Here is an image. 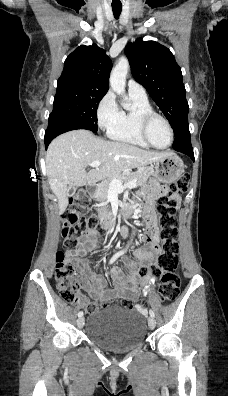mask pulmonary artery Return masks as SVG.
I'll use <instances>...</instances> for the list:
<instances>
[{"instance_id": "pulmonary-artery-1", "label": "pulmonary artery", "mask_w": 228, "mask_h": 396, "mask_svg": "<svg viewBox=\"0 0 228 396\" xmlns=\"http://www.w3.org/2000/svg\"><path fill=\"white\" fill-rule=\"evenodd\" d=\"M129 94L138 97H147L145 88L136 82L134 79H130L127 83Z\"/></svg>"}]
</instances>
